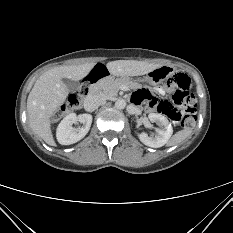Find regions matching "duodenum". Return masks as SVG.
Listing matches in <instances>:
<instances>
[{
  "mask_svg": "<svg viewBox=\"0 0 233 233\" xmlns=\"http://www.w3.org/2000/svg\"><path fill=\"white\" fill-rule=\"evenodd\" d=\"M107 75V68L104 65H97L94 71L89 74L82 82V94L90 95L89 93H96L101 91V86L97 81Z\"/></svg>",
  "mask_w": 233,
  "mask_h": 233,
  "instance_id": "duodenum-1",
  "label": "duodenum"
}]
</instances>
